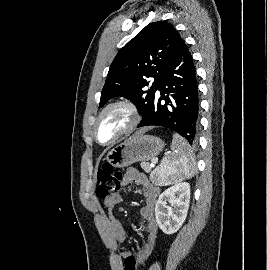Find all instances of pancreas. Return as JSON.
Here are the masks:
<instances>
[{"mask_svg": "<svg viewBox=\"0 0 267 270\" xmlns=\"http://www.w3.org/2000/svg\"><path fill=\"white\" fill-rule=\"evenodd\" d=\"M141 168L145 171V172H151V174H150V179H151V181L153 182V183H155V184H159V177H158V175H157V169H155V170H153V171H151V167H150V165L148 164V163H146V162H142L141 163Z\"/></svg>", "mask_w": 267, "mask_h": 270, "instance_id": "obj_1", "label": "pancreas"}]
</instances>
